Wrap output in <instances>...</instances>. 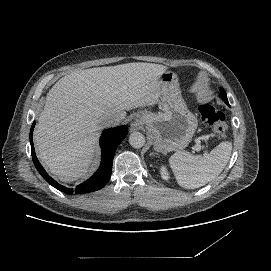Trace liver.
Here are the masks:
<instances>
[{
    "instance_id": "6515ba94",
    "label": "liver",
    "mask_w": 271,
    "mask_h": 271,
    "mask_svg": "<svg viewBox=\"0 0 271 271\" xmlns=\"http://www.w3.org/2000/svg\"><path fill=\"white\" fill-rule=\"evenodd\" d=\"M167 66L128 63L73 72L49 91L34 132L39 158L63 181L80 177L94 154L101 115L118 118L126 111L157 104L164 92Z\"/></svg>"
}]
</instances>
